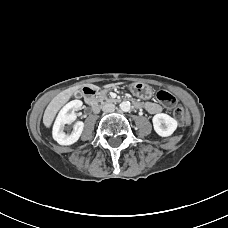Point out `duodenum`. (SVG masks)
<instances>
[{
    "mask_svg": "<svg viewBox=\"0 0 228 228\" xmlns=\"http://www.w3.org/2000/svg\"><path fill=\"white\" fill-rule=\"evenodd\" d=\"M97 89L94 86H85L83 88V95L87 104L96 111L99 107L98 100L96 97Z\"/></svg>",
    "mask_w": 228,
    "mask_h": 228,
    "instance_id": "duodenum-1",
    "label": "duodenum"
}]
</instances>
